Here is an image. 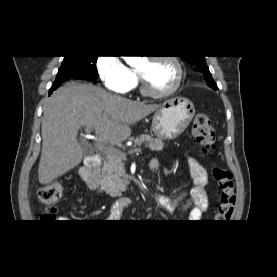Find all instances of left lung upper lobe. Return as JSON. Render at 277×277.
<instances>
[{"label": "left lung upper lobe", "mask_w": 277, "mask_h": 277, "mask_svg": "<svg viewBox=\"0 0 277 277\" xmlns=\"http://www.w3.org/2000/svg\"><path fill=\"white\" fill-rule=\"evenodd\" d=\"M181 58L191 63L197 68L198 71L202 72L207 84L211 88H213L214 90L218 89L206 64L204 56H181Z\"/></svg>", "instance_id": "obj_1"}]
</instances>
